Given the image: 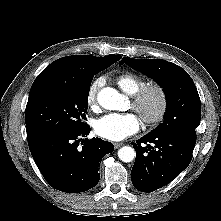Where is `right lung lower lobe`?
<instances>
[{"mask_svg": "<svg viewBox=\"0 0 221 221\" xmlns=\"http://www.w3.org/2000/svg\"><path fill=\"white\" fill-rule=\"evenodd\" d=\"M89 132L90 127L86 126L77 131L48 133L28 141L36 165L53 188L79 193L99 182L100 160L111 153L114 146L100 138L82 140Z\"/></svg>", "mask_w": 221, "mask_h": 221, "instance_id": "98d812e1", "label": "right lung lower lobe"}]
</instances>
